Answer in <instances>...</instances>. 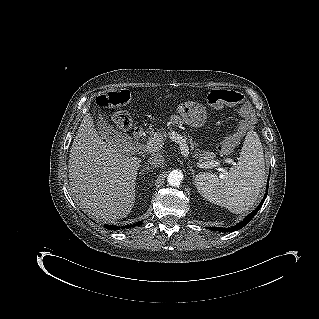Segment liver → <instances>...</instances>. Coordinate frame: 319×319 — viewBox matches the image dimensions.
<instances>
[{"mask_svg":"<svg viewBox=\"0 0 319 319\" xmlns=\"http://www.w3.org/2000/svg\"><path fill=\"white\" fill-rule=\"evenodd\" d=\"M69 157L71 189L89 214L116 220L131 212L141 159L130 157L101 134L89 114L82 120Z\"/></svg>","mask_w":319,"mask_h":319,"instance_id":"liver-1","label":"liver"}]
</instances>
